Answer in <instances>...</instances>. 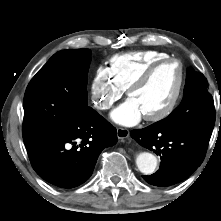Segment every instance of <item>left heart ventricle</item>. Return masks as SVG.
Listing matches in <instances>:
<instances>
[{
    "instance_id": "obj_1",
    "label": "left heart ventricle",
    "mask_w": 221,
    "mask_h": 221,
    "mask_svg": "<svg viewBox=\"0 0 221 221\" xmlns=\"http://www.w3.org/2000/svg\"><path fill=\"white\" fill-rule=\"evenodd\" d=\"M179 68L169 63L159 68L150 80L140 89L132 93L143 116L152 115L164 109L175 94L179 82Z\"/></svg>"
}]
</instances>
